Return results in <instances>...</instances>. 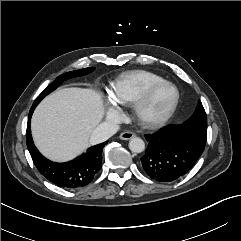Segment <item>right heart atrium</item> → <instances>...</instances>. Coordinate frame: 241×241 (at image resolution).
Listing matches in <instances>:
<instances>
[{
	"label": "right heart atrium",
	"instance_id": "obj_1",
	"mask_svg": "<svg viewBox=\"0 0 241 241\" xmlns=\"http://www.w3.org/2000/svg\"><path fill=\"white\" fill-rule=\"evenodd\" d=\"M109 116L111 118H118L121 116V111L118 106L113 105L110 109Z\"/></svg>",
	"mask_w": 241,
	"mask_h": 241
}]
</instances>
